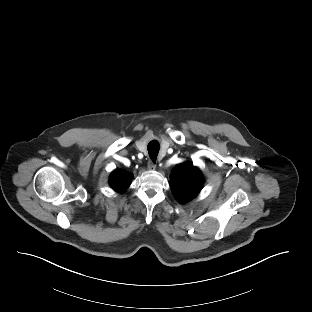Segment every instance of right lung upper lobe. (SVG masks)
<instances>
[{
	"instance_id": "right-lung-upper-lobe-1",
	"label": "right lung upper lobe",
	"mask_w": 312,
	"mask_h": 312,
	"mask_svg": "<svg viewBox=\"0 0 312 312\" xmlns=\"http://www.w3.org/2000/svg\"><path fill=\"white\" fill-rule=\"evenodd\" d=\"M132 175L125 173L122 170H115L109 179L111 187L118 192L125 190L131 183Z\"/></svg>"
}]
</instances>
